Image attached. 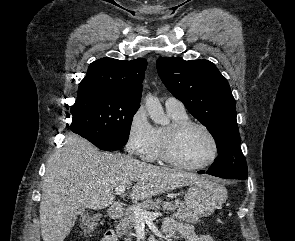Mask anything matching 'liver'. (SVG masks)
Wrapping results in <instances>:
<instances>
[{"mask_svg": "<svg viewBox=\"0 0 295 241\" xmlns=\"http://www.w3.org/2000/svg\"><path fill=\"white\" fill-rule=\"evenodd\" d=\"M206 179L127 155L100 152L84 138L68 135L46 165L39 210L43 241H64L76 222L78 209L109 206L118 186L131 189V199L143 200Z\"/></svg>", "mask_w": 295, "mask_h": 241, "instance_id": "liver-1", "label": "liver"}]
</instances>
